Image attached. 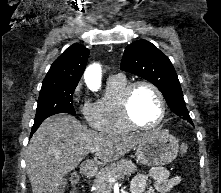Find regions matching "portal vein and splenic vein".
I'll use <instances>...</instances> for the list:
<instances>
[{
  "mask_svg": "<svg viewBox=\"0 0 221 193\" xmlns=\"http://www.w3.org/2000/svg\"><path fill=\"white\" fill-rule=\"evenodd\" d=\"M90 151H91V153H95V152L98 151V149H97V148H91ZM110 180L113 181V182L115 181V180H114L113 178H111V177H110Z\"/></svg>",
  "mask_w": 221,
  "mask_h": 193,
  "instance_id": "portal-vein-and-splenic-vein-1",
  "label": "portal vein and splenic vein"
}]
</instances>
